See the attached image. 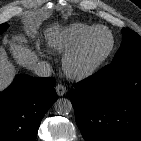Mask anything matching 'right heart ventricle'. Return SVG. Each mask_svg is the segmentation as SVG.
I'll use <instances>...</instances> for the list:
<instances>
[{
  "label": "right heart ventricle",
  "instance_id": "e07e8e85",
  "mask_svg": "<svg viewBox=\"0 0 141 141\" xmlns=\"http://www.w3.org/2000/svg\"><path fill=\"white\" fill-rule=\"evenodd\" d=\"M94 25L73 23L54 33L48 41L49 48L59 54H66L90 31Z\"/></svg>",
  "mask_w": 141,
  "mask_h": 141
}]
</instances>
